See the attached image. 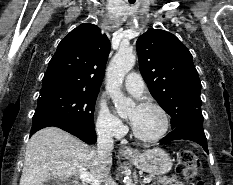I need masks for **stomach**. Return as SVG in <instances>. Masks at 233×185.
Returning <instances> with one entry per match:
<instances>
[{
	"label": "stomach",
	"instance_id": "1",
	"mask_svg": "<svg viewBox=\"0 0 233 185\" xmlns=\"http://www.w3.org/2000/svg\"><path fill=\"white\" fill-rule=\"evenodd\" d=\"M125 157L137 168L152 175L166 174L171 170L173 165V160L169 154L158 147Z\"/></svg>",
	"mask_w": 233,
	"mask_h": 185
}]
</instances>
